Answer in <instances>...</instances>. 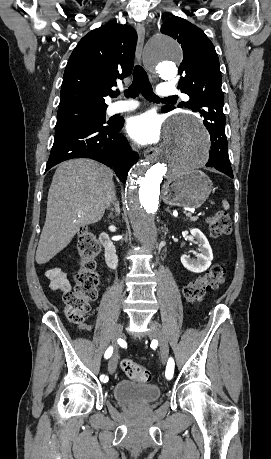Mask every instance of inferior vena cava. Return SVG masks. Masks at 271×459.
Instances as JSON below:
<instances>
[{
	"label": "inferior vena cava",
	"mask_w": 271,
	"mask_h": 459,
	"mask_svg": "<svg viewBox=\"0 0 271 459\" xmlns=\"http://www.w3.org/2000/svg\"><path fill=\"white\" fill-rule=\"evenodd\" d=\"M114 198H115V194H114V192L112 190V192H109V196H108V200L106 202V206H110V204H114V202H115ZM112 210H115L116 216H118V214L120 212L118 202H116V204H114V208H112Z\"/></svg>",
	"instance_id": "inferior-vena-cava-1"
}]
</instances>
